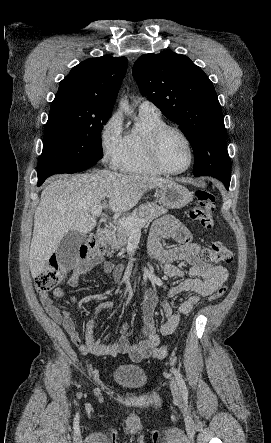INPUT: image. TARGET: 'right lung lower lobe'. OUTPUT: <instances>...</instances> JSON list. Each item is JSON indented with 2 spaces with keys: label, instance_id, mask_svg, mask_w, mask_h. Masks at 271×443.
<instances>
[{
  "label": "right lung lower lobe",
  "instance_id": "obj_1",
  "mask_svg": "<svg viewBox=\"0 0 271 443\" xmlns=\"http://www.w3.org/2000/svg\"><path fill=\"white\" fill-rule=\"evenodd\" d=\"M95 164L90 163H79V164H61L57 166H53L50 168L43 169L41 171H37L38 174V184L37 186H41L45 179L53 174L58 173H76L86 170L92 167Z\"/></svg>",
  "mask_w": 271,
  "mask_h": 443
}]
</instances>
